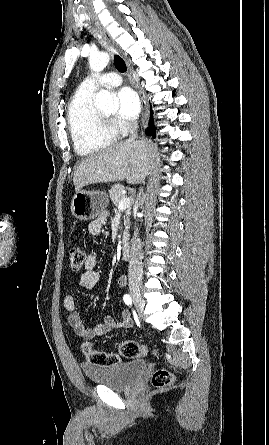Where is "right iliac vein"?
I'll use <instances>...</instances> for the list:
<instances>
[{"instance_id": "right-iliac-vein-1", "label": "right iliac vein", "mask_w": 269, "mask_h": 445, "mask_svg": "<svg viewBox=\"0 0 269 445\" xmlns=\"http://www.w3.org/2000/svg\"><path fill=\"white\" fill-rule=\"evenodd\" d=\"M130 294L135 302L136 307L140 312H142L144 308V301L142 299L140 289L138 287H132L130 289Z\"/></svg>"}]
</instances>
